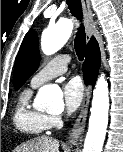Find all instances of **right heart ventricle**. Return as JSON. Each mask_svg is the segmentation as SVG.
I'll list each match as a JSON object with an SVG mask.
<instances>
[{
    "instance_id": "e07e8e85",
    "label": "right heart ventricle",
    "mask_w": 123,
    "mask_h": 152,
    "mask_svg": "<svg viewBox=\"0 0 123 152\" xmlns=\"http://www.w3.org/2000/svg\"><path fill=\"white\" fill-rule=\"evenodd\" d=\"M31 94V89L21 93L14 110L13 123L20 131L39 136L49 129L48 115L30 106Z\"/></svg>"
}]
</instances>
